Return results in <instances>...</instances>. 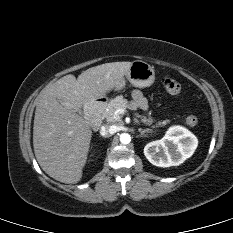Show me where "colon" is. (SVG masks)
<instances>
[{
    "mask_svg": "<svg viewBox=\"0 0 233 233\" xmlns=\"http://www.w3.org/2000/svg\"><path fill=\"white\" fill-rule=\"evenodd\" d=\"M163 88L170 94L176 95L181 91L180 83L170 75H166L162 79ZM198 117L195 115H189L186 118V123L191 127H196L198 125Z\"/></svg>",
    "mask_w": 233,
    "mask_h": 233,
    "instance_id": "colon-1",
    "label": "colon"
}]
</instances>
